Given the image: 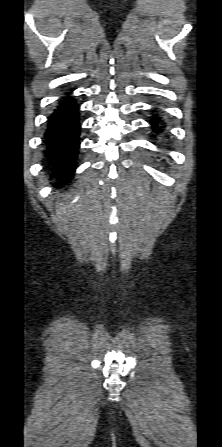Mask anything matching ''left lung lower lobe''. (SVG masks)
<instances>
[{
    "label": "left lung lower lobe",
    "mask_w": 222,
    "mask_h": 447,
    "mask_svg": "<svg viewBox=\"0 0 222 447\" xmlns=\"http://www.w3.org/2000/svg\"><path fill=\"white\" fill-rule=\"evenodd\" d=\"M159 120V118L157 116H155L152 120H151V124H152V129L156 132L160 131V128L157 124V121Z\"/></svg>",
    "instance_id": "1"
}]
</instances>
